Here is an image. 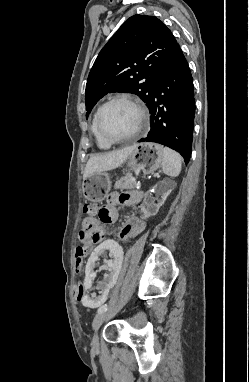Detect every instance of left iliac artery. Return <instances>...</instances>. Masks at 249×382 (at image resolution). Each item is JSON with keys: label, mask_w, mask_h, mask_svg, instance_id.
<instances>
[{"label": "left iliac artery", "mask_w": 249, "mask_h": 382, "mask_svg": "<svg viewBox=\"0 0 249 382\" xmlns=\"http://www.w3.org/2000/svg\"><path fill=\"white\" fill-rule=\"evenodd\" d=\"M107 308H108L107 304L101 306V307L98 309V313H99V312H103V311H107Z\"/></svg>", "instance_id": "44dca946"}]
</instances>
